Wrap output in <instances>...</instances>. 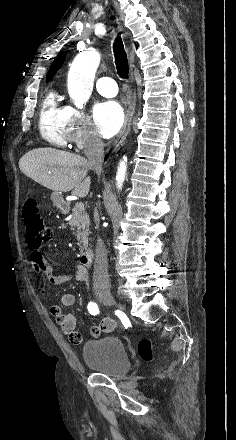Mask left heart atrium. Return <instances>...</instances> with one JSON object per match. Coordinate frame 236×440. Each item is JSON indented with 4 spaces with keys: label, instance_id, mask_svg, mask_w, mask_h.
I'll return each mask as SVG.
<instances>
[{
    "label": "left heart atrium",
    "instance_id": "1",
    "mask_svg": "<svg viewBox=\"0 0 236 440\" xmlns=\"http://www.w3.org/2000/svg\"><path fill=\"white\" fill-rule=\"evenodd\" d=\"M94 120L101 136L105 138L112 137L123 125V109L116 101L99 103L94 108Z\"/></svg>",
    "mask_w": 236,
    "mask_h": 440
}]
</instances>
